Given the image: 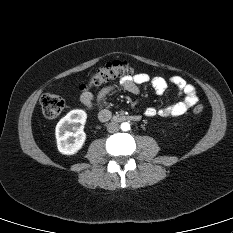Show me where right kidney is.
Segmentation results:
<instances>
[{
    "label": "right kidney",
    "mask_w": 233,
    "mask_h": 233,
    "mask_svg": "<svg viewBox=\"0 0 233 233\" xmlns=\"http://www.w3.org/2000/svg\"><path fill=\"white\" fill-rule=\"evenodd\" d=\"M86 119L87 114L84 110L74 109L57 123L55 135L60 153L73 155L82 148L86 140Z\"/></svg>",
    "instance_id": "ca27d5eb"
}]
</instances>
